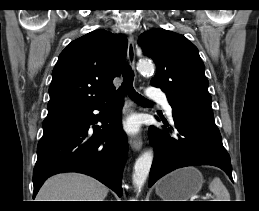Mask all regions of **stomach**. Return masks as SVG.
Here are the masks:
<instances>
[{"label":"stomach","mask_w":259,"mask_h":211,"mask_svg":"<svg viewBox=\"0 0 259 211\" xmlns=\"http://www.w3.org/2000/svg\"><path fill=\"white\" fill-rule=\"evenodd\" d=\"M203 182L198 169L186 167L162 178L156 185V193L163 201H187L201 190Z\"/></svg>","instance_id":"stomach-1"}]
</instances>
